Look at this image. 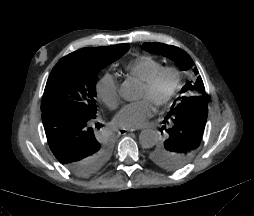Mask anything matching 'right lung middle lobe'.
<instances>
[{
    "mask_svg": "<svg viewBox=\"0 0 254 216\" xmlns=\"http://www.w3.org/2000/svg\"><path fill=\"white\" fill-rule=\"evenodd\" d=\"M128 49L127 44L83 48L61 58L47 80L41 111L59 107L95 118L97 108L94 97L97 74L102 68L120 58ZM97 127L100 128V126ZM110 153L109 143H102V151L89 170V176L103 167Z\"/></svg>",
    "mask_w": 254,
    "mask_h": 216,
    "instance_id": "dd1d6c3e",
    "label": "right lung middle lobe"
}]
</instances>
